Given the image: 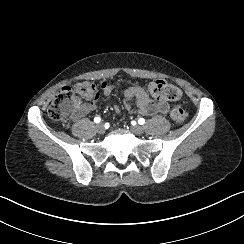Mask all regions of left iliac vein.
Returning a JSON list of instances; mask_svg holds the SVG:
<instances>
[{
	"label": "left iliac vein",
	"instance_id": "left-iliac-vein-1",
	"mask_svg": "<svg viewBox=\"0 0 244 244\" xmlns=\"http://www.w3.org/2000/svg\"><path fill=\"white\" fill-rule=\"evenodd\" d=\"M131 131L135 134V135H142L144 133V128L140 125H135L131 127Z\"/></svg>",
	"mask_w": 244,
	"mask_h": 244
}]
</instances>
